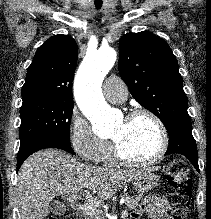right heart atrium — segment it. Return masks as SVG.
<instances>
[{
	"instance_id": "obj_1",
	"label": "right heart atrium",
	"mask_w": 211,
	"mask_h": 219,
	"mask_svg": "<svg viewBox=\"0 0 211 219\" xmlns=\"http://www.w3.org/2000/svg\"><path fill=\"white\" fill-rule=\"evenodd\" d=\"M68 132L72 148L85 161L99 162L111 149L110 142L97 136L89 121L77 112L71 116Z\"/></svg>"
}]
</instances>
